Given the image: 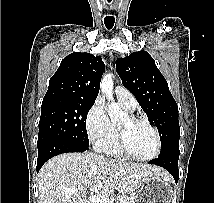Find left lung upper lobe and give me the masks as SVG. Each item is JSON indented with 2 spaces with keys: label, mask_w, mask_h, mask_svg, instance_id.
<instances>
[{
  "label": "left lung upper lobe",
  "mask_w": 214,
  "mask_h": 203,
  "mask_svg": "<svg viewBox=\"0 0 214 203\" xmlns=\"http://www.w3.org/2000/svg\"><path fill=\"white\" fill-rule=\"evenodd\" d=\"M123 85L137 99L151 124L156 125L160 140L159 156L180 153L178 106L168 83L146 51L131 53L116 62Z\"/></svg>",
  "instance_id": "5c2ea615"
}]
</instances>
